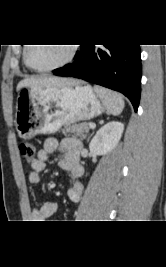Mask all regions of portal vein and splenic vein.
I'll list each match as a JSON object with an SVG mask.
<instances>
[{
  "label": "portal vein and splenic vein",
  "mask_w": 166,
  "mask_h": 267,
  "mask_svg": "<svg viewBox=\"0 0 166 267\" xmlns=\"http://www.w3.org/2000/svg\"><path fill=\"white\" fill-rule=\"evenodd\" d=\"M95 127H96L95 124H90V126H89L90 129H94Z\"/></svg>",
  "instance_id": "1"
}]
</instances>
